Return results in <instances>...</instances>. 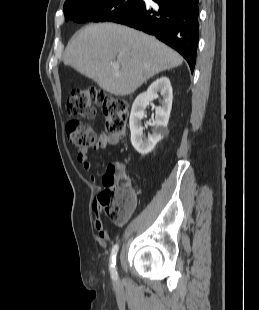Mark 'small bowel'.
<instances>
[{
    "instance_id": "small-bowel-1",
    "label": "small bowel",
    "mask_w": 259,
    "mask_h": 310,
    "mask_svg": "<svg viewBox=\"0 0 259 310\" xmlns=\"http://www.w3.org/2000/svg\"><path fill=\"white\" fill-rule=\"evenodd\" d=\"M98 139H99L98 143L94 147L96 150L103 149L107 146H115L119 142L117 138L112 137L105 133L100 134ZM77 160L82 165L83 169L90 174V179L94 183V185L98 187V185H96L95 183V175L93 173L92 163L89 160L88 150L86 148H81L78 150ZM127 220L128 218L120 225L121 226L124 225L127 222ZM94 228L102 238L105 239L108 236V232L106 231V229L104 228V224L100 220L95 221Z\"/></svg>"
}]
</instances>
